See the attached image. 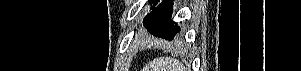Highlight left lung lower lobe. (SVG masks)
<instances>
[{
    "label": "left lung lower lobe",
    "mask_w": 301,
    "mask_h": 71,
    "mask_svg": "<svg viewBox=\"0 0 301 71\" xmlns=\"http://www.w3.org/2000/svg\"><path fill=\"white\" fill-rule=\"evenodd\" d=\"M172 0H163L143 20L145 28L154 36L169 41L179 39L180 28L171 20Z\"/></svg>",
    "instance_id": "obj_1"
}]
</instances>
